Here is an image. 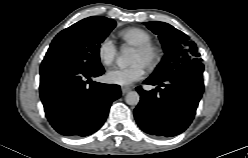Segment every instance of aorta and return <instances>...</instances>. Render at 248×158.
I'll list each match as a JSON object with an SVG mask.
<instances>
[{"mask_svg": "<svg viewBox=\"0 0 248 158\" xmlns=\"http://www.w3.org/2000/svg\"><path fill=\"white\" fill-rule=\"evenodd\" d=\"M132 51L129 48H123L120 56L117 58V64L123 68L131 63ZM126 103L131 106H136L140 101V96L136 91L128 92L125 97Z\"/></svg>", "mask_w": 248, "mask_h": 158, "instance_id": "obj_1", "label": "aorta"}]
</instances>
